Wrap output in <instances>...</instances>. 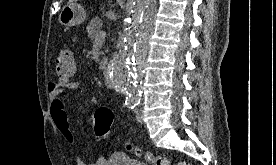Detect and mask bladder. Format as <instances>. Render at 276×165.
Segmentation results:
<instances>
[{
  "instance_id": "bladder-1",
  "label": "bladder",
  "mask_w": 276,
  "mask_h": 165,
  "mask_svg": "<svg viewBox=\"0 0 276 165\" xmlns=\"http://www.w3.org/2000/svg\"><path fill=\"white\" fill-rule=\"evenodd\" d=\"M110 165H147L146 163L130 158L125 154H118L113 158V161Z\"/></svg>"
}]
</instances>
